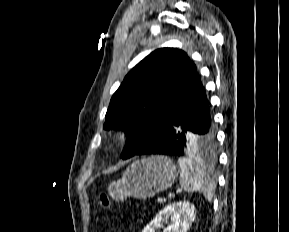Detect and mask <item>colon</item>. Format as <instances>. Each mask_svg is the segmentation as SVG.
Listing matches in <instances>:
<instances>
[{
    "instance_id": "5ec220e1",
    "label": "colon",
    "mask_w": 289,
    "mask_h": 232,
    "mask_svg": "<svg viewBox=\"0 0 289 232\" xmlns=\"http://www.w3.org/2000/svg\"><path fill=\"white\" fill-rule=\"evenodd\" d=\"M100 201H101L102 206L105 209H111L113 207V204H114L113 200L107 194H102L100 197Z\"/></svg>"
}]
</instances>
